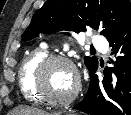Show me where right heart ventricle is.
<instances>
[{
	"label": "right heart ventricle",
	"instance_id": "e07e8e85",
	"mask_svg": "<svg viewBox=\"0 0 131 115\" xmlns=\"http://www.w3.org/2000/svg\"><path fill=\"white\" fill-rule=\"evenodd\" d=\"M47 57L44 48H36L27 54L18 68V86L23 98L32 104L39 105L43 100L34 89V73L38 64Z\"/></svg>",
	"mask_w": 131,
	"mask_h": 115
}]
</instances>
